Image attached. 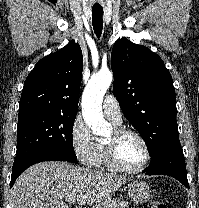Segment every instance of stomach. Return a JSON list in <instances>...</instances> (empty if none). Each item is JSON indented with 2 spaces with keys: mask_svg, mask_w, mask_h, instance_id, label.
<instances>
[{
  "mask_svg": "<svg viewBox=\"0 0 199 208\" xmlns=\"http://www.w3.org/2000/svg\"><path fill=\"white\" fill-rule=\"evenodd\" d=\"M129 198L136 203H144L152 197L149 185L143 181H132L128 184Z\"/></svg>",
  "mask_w": 199,
  "mask_h": 208,
  "instance_id": "1",
  "label": "stomach"
}]
</instances>
